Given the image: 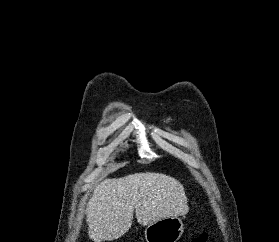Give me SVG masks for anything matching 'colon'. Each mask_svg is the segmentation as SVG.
I'll return each mask as SVG.
<instances>
[{
	"instance_id": "obj_1",
	"label": "colon",
	"mask_w": 279,
	"mask_h": 242,
	"mask_svg": "<svg viewBox=\"0 0 279 242\" xmlns=\"http://www.w3.org/2000/svg\"><path fill=\"white\" fill-rule=\"evenodd\" d=\"M208 233L204 232L200 236L194 238L191 242H208Z\"/></svg>"
}]
</instances>
